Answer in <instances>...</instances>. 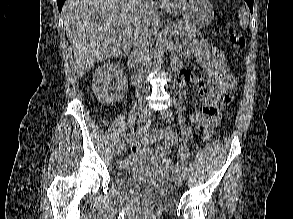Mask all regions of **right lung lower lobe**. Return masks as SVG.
I'll return each instance as SVG.
<instances>
[{
  "label": "right lung lower lobe",
  "mask_w": 293,
  "mask_h": 219,
  "mask_svg": "<svg viewBox=\"0 0 293 219\" xmlns=\"http://www.w3.org/2000/svg\"><path fill=\"white\" fill-rule=\"evenodd\" d=\"M64 2H65V0H57V5H58V8H59V11L62 10V5H63Z\"/></svg>",
  "instance_id": "98d812e1"
}]
</instances>
